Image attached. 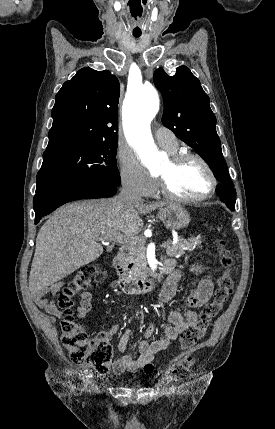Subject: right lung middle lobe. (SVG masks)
<instances>
[{"label":"right lung middle lobe","instance_id":"obj_1","mask_svg":"<svg viewBox=\"0 0 275 429\" xmlns=\"http://www.w3.org/2000/svg\"><path fill=\"white\" fill-rule=\"evenodd\" d=\"M118 140L95 144H70L43 154L36 193L75 180H96L119 186L116 151Z\"/></svg>","mask_w":275,"mask_h":429}]
</instances>
